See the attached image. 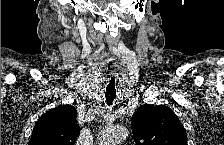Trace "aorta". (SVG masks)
I'll list each match as a JSON object with an SVG mask.
<instances>
[{
    "label": "aorta",
    "instance_id": "1",
    "mask_svg": "<svg viewBox=\"0 0 224 145\" xmlns=\"http://www.w3.org/2000/svg\"><path fill=\"white\" fill-rule=\"evenodd\" d=\"M128 136L123 126H109L102 130L99 138L101 145H117Z\"/></svg>",
    "mask_w": 224,
    "mask_h": 145
}]
</instances>
